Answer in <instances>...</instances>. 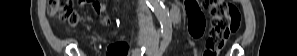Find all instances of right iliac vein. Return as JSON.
<instances>
[{"mask_svg": "<svg viewBox=\"0 0 297 56\" xmlns=\"http://www.w3.org/2000/svg\"><path fill=\"white\" fill-rule=\"evenodd\" d=\"M137 43H138V45H145L148 43V39H147V37L141 36L138 38Z\"/></svg>", "mask_w": 297, "mask_h": 56, "instance_id": "right-iliac-vein-1", "label": "right iliac vein"}]
</instances>
